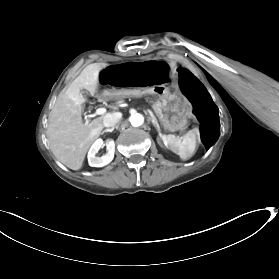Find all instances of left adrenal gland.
<instances>
[{"label": "left adrenal gland", "mask_w": 279, "mask_h": 279, "mask_svg": "<svg viewBox=\"0 0 279 279\" xmlns=\"http://www.w3.org/2000/svg\"><path fill=\"white\" fill-rule=\"evenodd\" d=\"M148 119H149V121H152V123H153V125L156 127L158 133H160V132H161V128H160V126H159L157 120L153 119L152 117H149Z\"/></svg>", "instance_id": "1"}]
</instances>
